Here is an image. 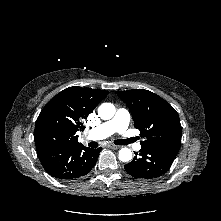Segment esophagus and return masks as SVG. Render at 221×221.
Returning <instances> with one entry per match:
<instances>
[{
  "label": "esophagus",
  "instance_id": "1",
  "mask_svg": "<svg viewBox=\"0 0 221 221\" xmlns=\"http://www.w3.org/2000/svg\"><path fill=\"white\" fill-rule=\"evenodd\" d=\"M108 147H110L112 149H119L120 148L119 145H115V144H108Z\"/></svg>",
  "mask_w": 221,
  "mask_h": 221
}]
</instances>
